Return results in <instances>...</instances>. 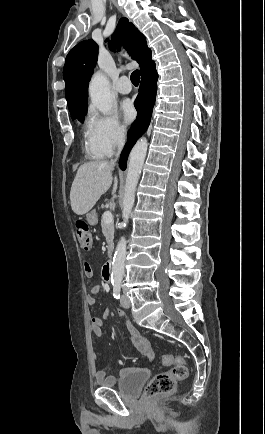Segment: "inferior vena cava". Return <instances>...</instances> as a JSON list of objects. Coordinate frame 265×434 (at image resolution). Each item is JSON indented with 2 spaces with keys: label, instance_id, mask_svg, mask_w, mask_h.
Listing matches in <instances>:
<instances>
[{
  "label": "inferior vena cava",
  "instance_id": "1",
  "mask_svg": "<svg viewBox=\"0 0 265 434\" xmlns=\"http://www.w3.org/2000/svg\"><path fill=\"white\" fill-rule=\"evenodd\" d=\"M125 140H124V134H120L119 136V140H118V154L116 156V158H118L121 150H122V146L124 144ZM115 160H111V164H114Z\"/></svg>",
  "mask_w": 265,
  "mask_h": 434
}]
</instances>
